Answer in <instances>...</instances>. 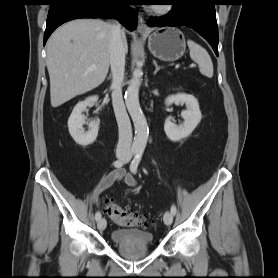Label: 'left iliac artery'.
I'll return each mask as SVG.
<instances>
[{
	"instance_id": "44dca946",
	"label": "left iliac artery",
	"mask_w": 278,
	"mask_h": 278,
	"mask_svg": "<svg viewBox=\"0 0 278 278\" xmlns=\"http://www.w3.org/2000/svg\"><path fill=\"white\" fill-rule=\"evenodd\" d=\"M142 155H143V150L142 149L137 150L136 155H135V157H134V159H133V161L130 165V171L134 174L137 172V168H138V165L141 161ZM176 212H177L176 206L172 205L171 206V213L173 215H175Z\"/></svg>"
}]
</instances>
